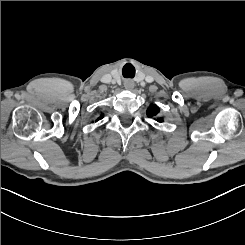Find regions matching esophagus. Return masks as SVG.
Instances as JSON below:
<instances>
[{"instance_id": "34e87169", "label": "esophagus", "mask_w": 245, "mask_h": 245, "mask_svg": "<svg viewBox=\"0 0 245 245\" xmlns=\"http://www.w3.org/2000/svg\"><path fill=\"white\" fill-rule=\"evenodd\" d=\"M130 83H131L130 88H129V87H127V86H126V84H124V85H125V87H126V89H131V88H133V87H134V83H133L132 81H130Z\"/></svg>"}]
</instances>
